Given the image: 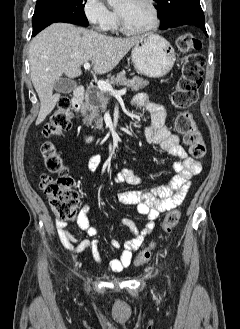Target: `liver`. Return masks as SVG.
I'll list each match as a JSON object with an SVG mask.
<instances>
[{"label":"liver","mask_w":240,"mask_h":329,"mask_svg":"<svg viewBox=\"0 0 240 329\" xmlns=\"http://www.w3.org/2000/svg\"><path fill=\"white\" fill-rule=\"evenodd\" d=\"M141 37L114 38L67 23H55L30 43L29 63L33 86L40 100L36 125L54 109L60 95L54 84L65 74L75 78L81 65L92 61L93 71L105 74L114 69Z\"/></svg>","instance_id":"1"}]
</instances>
